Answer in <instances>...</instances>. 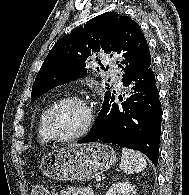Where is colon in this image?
<instances>
[{"label": "colon", "mask_w": 189, "mask_h": 195, "mask_svg": "<svg viewBox=\"0 0 189 195\" xmlns=\"http://www.w3.org/2000/svg\"><path fill=\"white\" fill-rule=\"evenodd\" d=\"M31 195H52V194L45 186L41 184H37L32 188Z\"/></svg>", "instance_id": "obj_1"}]
</instances>
